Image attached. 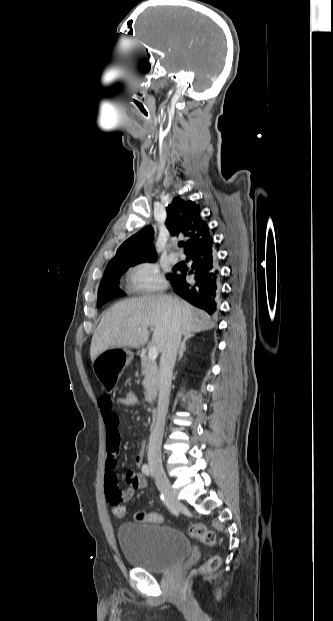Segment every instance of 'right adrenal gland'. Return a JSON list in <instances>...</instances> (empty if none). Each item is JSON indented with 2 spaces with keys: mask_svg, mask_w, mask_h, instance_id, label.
Here are the masks:
<instances>
[{
  "mask_svg": "<svg viewBox=\"0 0 333 621\" xmlns=\"http://www.w3.org/2000/svg\"><path fill=\"white\" fill-rule=\"evenodd\" d=\"M190 338V336H184L183 341L181 343L180 349H179V356L177 361H180L181 358L183 357L184 352L186 351V341Z\"/></svg>",
  "mask_w": 333,
  "mask_h": 621,
  "instance_id": "obj_1",
  "label": "right adrenal gland"
}]
</instances>
